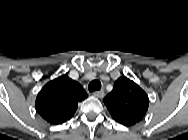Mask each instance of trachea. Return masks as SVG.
<instances>
[{"label":"trachea","mask_w":188,"mask_h":140,"mask_svg":"<svg viewBox=\"0 0 188 140\" xmlns=\"http://www.w3.org/2000/svg\"><path fill=\"white\" fill-rule=\"evenodd\" d=\"M101 88V83L99 80H93L92 82H90V84L88 85V90L90 92L92 91H96V90H100Z\"/></svg>","instance_id":"trachea-1"}]
</instances>
